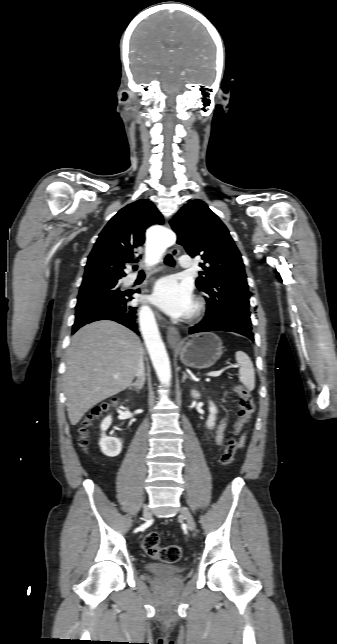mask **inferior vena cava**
<instances>
[{"instance_id":"602c4592","label":"inferior vena cava","mask_w":337,"mask_h":644,"mask_svg":"<svg viewBox=\"0 0 337 644\" xmlns=\"http://www.w3.org/2000/svg\"><path fill=\"white\" fill-rule=\"evenodd\" d=\"M136 376L139 379H142V378L145 379V368H144V362H143V354L140 356V359H139V364H138V369H137V372H136Z\"/></svg>"}]
</instances>
